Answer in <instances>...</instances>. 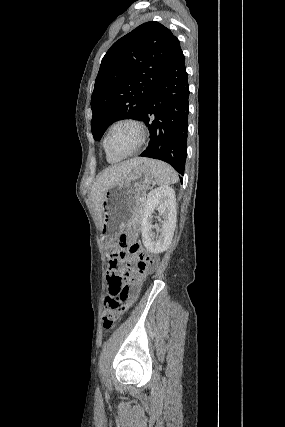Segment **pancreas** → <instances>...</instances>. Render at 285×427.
<instances>
[{
	"label": "pancreas",
	"instance_id": "obj_1",
	"mask_svg": "<svg viewBox=\"0 0 285 427\" xmlns=\"http://www.w3.org/2000/svg\"><path fill=\"white\" fill-rule=\"evenodd\" d=\"M141 201V200H140ZM144 205H145V201H141L140 202V204H139V201H138V206H137V215L139 214V215H141L142 214V212H143V209H144Z\"/></svg>",
	"mask_w": 285,
	"mask_h": 427
}]
</instances>
